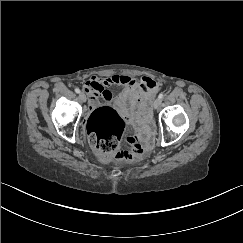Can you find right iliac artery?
<instances>
[{
    "label": "right iliac artery",
    "mask_w": 243,
    "mask_h": 243,
    "mask_svg": "<svg viewBox=\"0 0 243 243\" xmlns=\"http://www.w3.org/2000/svg\"><path fill=\"white\" fill-rule=\"evenodd\" d=\"M75 92H76L77 94H79V93H80V89H79V88H75Z\"/></svg>",
    "instance_id": "right-iliac-artery-1"
}]
</instances>
